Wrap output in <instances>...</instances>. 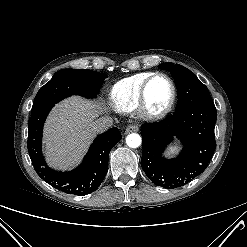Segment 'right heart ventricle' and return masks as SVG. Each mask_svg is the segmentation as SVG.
I'll use <instances>...</instances> for the list:
<instances>
[{
    "label": "right heart ventricle",
    "mask_w": 247,
    "mask_h": 247,
    "mask_svg": "<svg viewBox=\"0 0 247 247\" xmlns=\"http://www.w3.org/2000/svg\"><path fill=\"white\" fill-rule=\"evenodd\" d=\"M152 74V72H141L116 82L109 94L112 107L123 113L135 110L138 106L140 89L144 81Z\"/></svg>",
    "instance_id": "e07e8e85"
}]
</instances>
